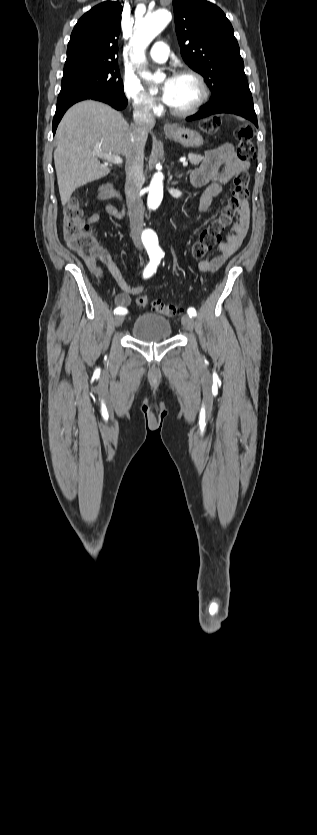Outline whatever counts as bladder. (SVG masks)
I'll return each mask as SVG.
<instances>
[{
  "label": "bladder",
  "instance_id": "1",
  "mask_svg": "<svg viewBox=\"0 0 317 835\" xmlns=\"http://www.w3.org/2000/svg\"><path fill=\"white\" fill-rule=\"evenodd\" d=\"M172 332V324L166 317L151 313L137 317L131 327L133 338L147 343L168 340Z\"/></svg>",
  "mask_w": 317,
  "mask_h": 835
}]
</instances>
